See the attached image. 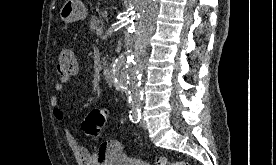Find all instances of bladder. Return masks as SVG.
I'll return each mask as SVG.
<instances>
[{
  "label": "bladder",
  "mask_w": 276,
  "mask_h": 165,
  "mask_svg": "<svg viewBox=\"0 0 276 165\" xmlns=\"http://www.w3.org/2000/svg\"><path fill=\"white\" fill-rule=\"evenodd\" d=\"M108 165H150L147 162L128 157L125 155H116Z\"/></svg>",
  "instance_id": "1"
}]
</instances>
